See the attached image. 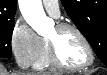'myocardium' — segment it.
Wrapping results in <instances>:
<instances>
[{"label": "myocardium", "instance_id": "f54148a6", "mask_svg": "<svg viewBox=\"0 0 107 75\" xmlns=\"http://www.w3.org/2000/svg\"><path fill=\"white\" fill-rule=\"evenodd\" d=\"M56 29L58 32H62L66 30H71L75 32L78 35V37L81 39L87 50L88 60L84 64L78 66H70L65 64L59 56L55 42L53 40L47 39L49 60L51 65L54 68L65 71H82L89 68L94 63L95 53L90 41L88 40L87 36L83 33V31L80 28H78L76 25L67 22L58 23L56 25Z\"/></svg>", "mask_w": 107, "mask_h": 75}]
</instances>
